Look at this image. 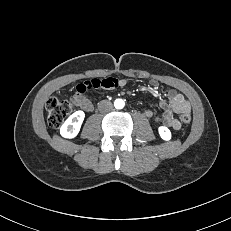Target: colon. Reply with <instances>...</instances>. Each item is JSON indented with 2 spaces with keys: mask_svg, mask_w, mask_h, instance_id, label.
Instances as JSON below:
<instances>
[{
  "mask_svg": "<svg viewBox=\"0 0 231 231\" xmlns=\"http://www.w3.org/2000/svg\"><path fill=\"white\" fill-rule=\"evenodd\" d=\"M73 109L74 104L71 100H59L57 98L48 99L46 102L48 124L53 128L59 127ZM181 121L184 125H188L191 121L190 113L182 114Z\"/></svg>",
  "mask_w": 231,
  "mask_h": 231,
  "instance_id": "obj_1",
  "label": "colon"
}]
</instances>
